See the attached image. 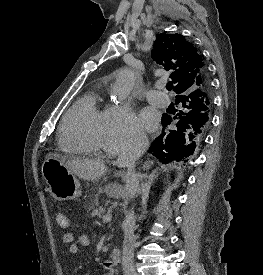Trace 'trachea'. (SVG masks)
<instances>
[{
  "label": "trachea",
  "mask_w": 263,
  "mask_h": 275,
  "mask_svg": "<svg viewBox=\"0 0 263 275\" xmlns=\"http://www.w3.org/2000/svg\"><path fill=\"white\" fill-rule=\"evenodd\" d=\"M172 87H173L172 82L167 83L166 89H167L168 91H170V90L172 89Z\"/></svg>",
  "instance_id": "obj_1"
}]
</instances>
